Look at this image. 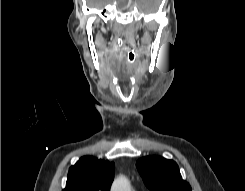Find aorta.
<instances>
[{"mask_svg":"<svg viewBox=\"0 0 245 191\" xmlns=\"http://www.w3.org/2000/svg\"><path fill=\"white\" fill-rule=\"evenodd\" d=\"M111 191H131V186L128 179L120 176L112 184Z\"/></svg>","mask_w":245,"mask_h":191,"instance_id":"aorta-1","label":"aorta"}]
</instances>
